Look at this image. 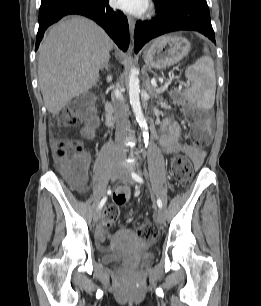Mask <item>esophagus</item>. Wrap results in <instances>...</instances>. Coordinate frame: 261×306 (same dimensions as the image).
Here are the masks:
<instances>
[{
	"mask_svg": "<svg viewBox=\"0 0 261 306\" xmlns=\"http://www.w3.org/2000/svg\"><path fill=\"white\" fill-rule=\"evenodd\" d=\"M128 24L131 35H133L135 29V19L132 16H128Z\"/></svg>",
	"mask_w": 261,
	"mask_h": 306,
	"instance_id": "obj_1",
	"label": "esophagus"
}]
</instances>
